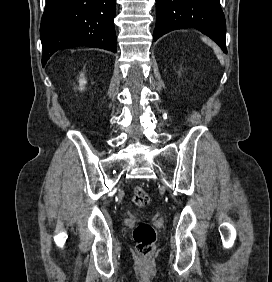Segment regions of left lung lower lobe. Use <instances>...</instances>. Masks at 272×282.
<instances>
[{"label":"left lung lower lobe","instance_id":"obj_1","mask_svg":"<svg viewBox=\"0 0 272 282\" xmlns=\"http://www.w3.org/2000/svg\"><path fill=\"white\" fill-rule=\"evenodd\" d=\"M220 0H156L154 40L172 30L197 28L227 53Z\"/></svg>","mask_w":272,"mask_h":282}]
</instances>
